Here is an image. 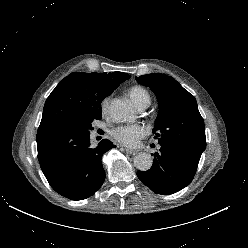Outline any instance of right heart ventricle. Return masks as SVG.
<instances>
[{
	"mask_svg": "<svg viewBox=\"0 0 248 248\" xmlns=\"http://www.w3.org/2000/svg\"><path fill=\"white\" fill-rule=\"evenodd\" d=\"M129 96L137 107L142 104L149 105L151 102V96L149 92L144 87L139 85L130 88Z\"/></svg>",
	"mask_w": 248,
	"mask_h": 248,
	"instance_id": "right-heart-ventricle-1",
	"label": "right heart ventricle"
}]
</instances>
